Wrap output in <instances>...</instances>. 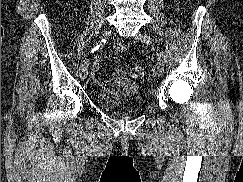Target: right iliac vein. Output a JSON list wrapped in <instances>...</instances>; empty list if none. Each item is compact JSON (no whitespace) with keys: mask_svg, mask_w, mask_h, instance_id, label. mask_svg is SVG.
<instances>
[{"mask_svg":"<svg viewBox=\"0 0 243 182\" xmlns=\"http://www.w3.org/2000/svg\"><path fill=\"white\" fill-rule=\"evenodd\" d=\"M111 35V29H105L104 32L101 35V38L108 37ZM88 59L83 60L81 66H80V77L81 79H86L88 75Z\"/></svg>","mask_w":243,"mask_h":182,"instance_id":"obj_1","label":"right iliac vein"}]
</instances>
